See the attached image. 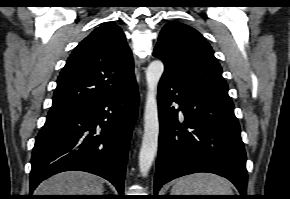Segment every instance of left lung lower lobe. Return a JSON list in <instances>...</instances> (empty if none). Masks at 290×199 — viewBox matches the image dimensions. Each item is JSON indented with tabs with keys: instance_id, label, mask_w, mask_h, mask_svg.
<instances>
[{
	"instance_id": "1",
	"label": "left lung lower lobe",
	"mask_w": 290,
	"mask_h": 199,
	"mask_svg": "<svg viewBox=\"0 0 290 199\" xmlns=\"http://www.w3.org/2000/svg\"><path fill=\"white\" fill-rule=\"evenodd\" d=\"M158 106L155 194L175 178L210 172L229 179L246 198V154L232 100L163 75Z\"/></svg>"
}]
</instances>
